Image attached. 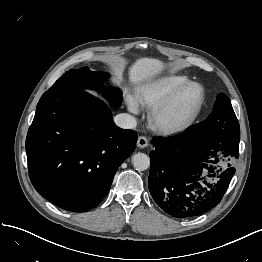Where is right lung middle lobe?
I'll return each mask as SVG.
<instances>
[{"mask_svg": "<svg viewBox=\"0 0 262 262\" xmlns=\"http://www.w3.org/2000/svg\"><path fill=\"white\" fill-rule=\"evenodd\" d=\"M108 77L107 73L94 72L88 67L69 70L60 77L48 90L49 92L63 91L67 89H99ZM106 97L114 106H119L122 102V95L119 89H105Z\"/></svg>", "mask_w": 262, "mask_h": 262, "instance_id": "1", "label": "right lung middle lobe"}]
</instances>
